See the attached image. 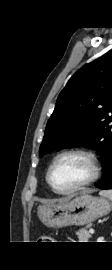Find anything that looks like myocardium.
<instances>
[{"mask_svg": "<svg viewBox=\"0 0 112 270\" xmlns=\"http://www.w3.org/2000/svg\"><path fill=\"white\" fill-rule=\"evenodd\" d=\"M68 155H78L84 157L90 164L91 174L85 181L68 190H58L51 181V173L57 162L61 158ZM101 171H102L101 160L95 152L83 148H71L61 151L54 157L47 170L46 181L54 193L59 195H70L94 184L100 178Z\"/></svg>", "mask_w": 112, "mask_h": 270, "instance_id": "f54148a6", "label": "myocardium"}]
</instances>
